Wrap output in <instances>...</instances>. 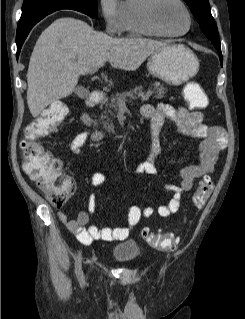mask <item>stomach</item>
I'll return each mask as SVG.
<instances>
[{
  "label": "stomach",
  "instance_id": "stomach-1",
  "mask_svg": "<svg viewBox=\"0 0 245 319\" xmlns=\"http://www.w3.org/2000/svg\"><path fill=\"white\" fill-rule=\"evenodd\" d=\"M147 68L159 79L171 85H180L198 72L199 61L184 45H165L150 55Z\"/></svg>",
  "mask_w": 245,
  "mask_h": 319
}]
</instances>
